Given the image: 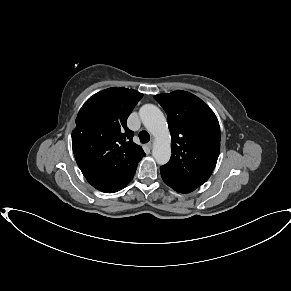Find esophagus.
Here are the masks:
<instances>
[{
	"mask_svg": "<svg viewBox=\"0 0 291 291\" xmlns=\"http://www.w3.org/2000/svg\"><path fill=\"white\" fill-rule=\"evenodd\" d=\"M153 145H154V142H153V141H150V142L147 144V147H148L149 149H152Z\"/></svg>",
	"mask_w": 291,
	"mask_h": 291,
	"instance_id": "34e87169",
	"label": "esophagus"
}]
</instances>
